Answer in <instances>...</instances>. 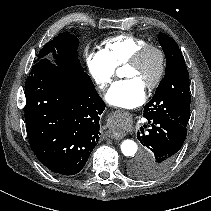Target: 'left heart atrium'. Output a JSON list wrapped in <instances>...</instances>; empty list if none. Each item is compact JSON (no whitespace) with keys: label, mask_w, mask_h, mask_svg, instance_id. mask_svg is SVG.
Here are the masks:
<instances>
[{"label":"left heart atrium","mask_w":211,"mask_h":211,"mask_svg":"<svg viewBox=\"0 0 211 211\" xmlns=\"http://www.w3.org/2000/svg\"><path fill=\"white\" fill-rule=\"evenodd\" d=\"M107 102L118 108L131 109L145 99V86L136 78L115 82L105 96Z\"/></svg>","instance_id":"obj_1"}]
</instances>
